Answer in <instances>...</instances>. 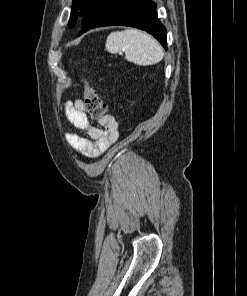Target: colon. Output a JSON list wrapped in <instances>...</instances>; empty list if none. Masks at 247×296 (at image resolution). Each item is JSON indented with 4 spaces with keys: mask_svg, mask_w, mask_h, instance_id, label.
<instances>
[{
    "mask_svg": "<svg viewBox=\"0 0 247 296\" xmlns=\"http://www.w3.org/2000/svg\"><path fill=\"white\" fill-rule=\"evenodd\" d=\"M84 103L90 115L95 118H101L107 113L106 104L100 99L96 90L87 84L84 88Z\"/></svg>",
    "mask_w": 247,
    "mask_h": 296,
    "instance_id": "1",
    "label": "colon"
}]
</instances>
